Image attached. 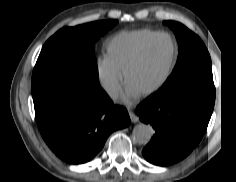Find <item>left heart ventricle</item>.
Segmentation results:
<instances>
[{"label": "left heart ventricle", "mask_w": 236, "mask_h": 182, "mask_svg": "<svg viewBox=\"0 0 236 182\" xmlns=\"http://www.w3.org/2000/svg\"><path fill=\"white\" fill-rule=\"evenodd\" d=\"M171 53L169 41L158 43L147 61L140 67L133 69L131 81L139 85H148L158 80L166 71Z\"/></svg>", "instance_id": "b2bd125f"}]
</instances>
